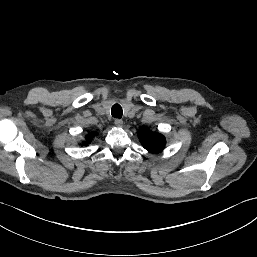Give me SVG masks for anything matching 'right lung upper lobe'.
<instances>
[{
	"label": "right lung upper lobe",
	"mask_w": 257,
	"mask_h": 257,
	"mask_svg": "<svg viewBox=\"0 0 257 257\" xmlns=\"http://www.w3.org/2000/svg\"><path fill=\"white\" fill-rule=\"evenodd\" d=\"M94 135H96V134H95V133H90V134H88V135L86 136V141H87V142H90V141L93 139ZM82 144H83V145H86V142H83Z\"/></svg>",
	"instance_id": "1"
}]
</instances>
